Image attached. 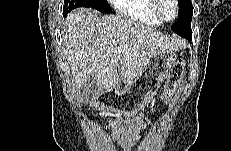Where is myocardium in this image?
<instances>
[{
  "label": "myocardium",
  "mask_w": 231,
  "mask_h": 151,
  "mask_svg": "<svg viewBox=\"0 0 231 151\" xmlns=\"http://www.w3.org/2000/svg\"><path fill=\"white\" fill-rule=\"evenodd\" d=\"M174 6V15L171 18H165L160 12L161 0H151V11L154 16L162 23H168L174 21L179 14V2L177 0H171Z\"/></svg>",
  "instance_id": "myocardium-1"
}]
</instances>
